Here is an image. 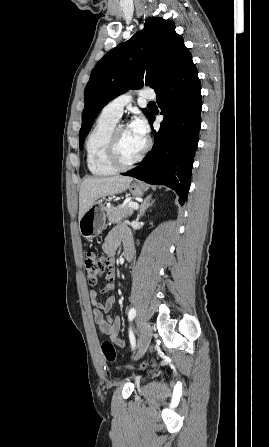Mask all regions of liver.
Segmentation results:
<instances>
[{
	"mask_svg": "<svg viewBox=\"0 0 269 447\" xmlns=\"http://www.w3.org/2000/svg\"><path fill=\"white\" fill-rule=\"evenodd\" d=\"M133 178L127 176H113V178H86L81 184L79 192V216L81 220L91 204L103 198V196H112V194H120L126 188H129Z\"/></svg>",
	"mask_w": 269,
	"mask_h": 447,
	"instance_id": "6515ba94",
	"label": "liver"
}]
</instances>
